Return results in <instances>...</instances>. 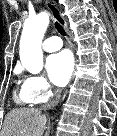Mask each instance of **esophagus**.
Listing matches in <instances>:
<instances>
[{
    "instance_id": "esophagus-1",
    "label": "esophagus",
    "mask_w": 117,
    "mask_h": 136,
    "mask_svg": "<svg viewBox=\"0 0 117 136\" xmlns=\"http://www.w3.org/2000/svg\"><path fill=\"white\" fill-rule=\"evenodd\" d=\"M45 5L48 8V10L51 12L53 18L67 30V21L62 16L58 7L50 0L46 1ZM66 94H67V91L64 93L62 100H64V98L66 97Z\"/></svg>"
}]
</instances>
